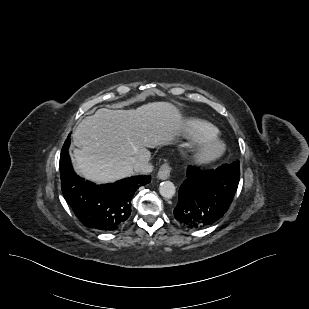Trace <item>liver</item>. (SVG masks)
<instances>
[{
  "instance_id": "obj_1",
  "label": "liver",
  "mask_w": 309,
  "mask_h": 309,
  "mask_svg": "<svg viewBox=\"0 0 309 309\" xmlns=\"http://www.w3.org/2000/svg\"><path fill=\"white\" fill-rule=\"evenodd\" d=\"M179 109L168 102H152L130 110L101 108L87 116L73 133L74 168L96 183H108L134 173L132 158L152 171L147 148L171 143L183 128Z\"/></svg>"
}]
</instances>
